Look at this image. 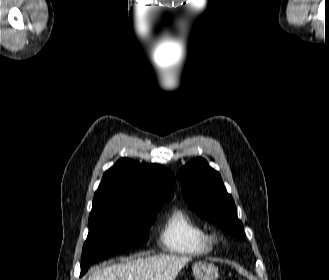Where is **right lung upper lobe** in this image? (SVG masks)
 <instances>
[{
	"instance_id": "obj_1",
	"label": "right lung upper lobe",
	"mask_w": 329,
	"mask_h": 280,
	"mask_svg": "<svg viewBox=\"0 0 329 280\" xmlns=\"http://www.w3.org/2000/svg\"><path fill=\"white\" fill-rule=\"evenodd\" d=\"M174 181V174L161 165L140 164L123 158L104 173L93 206L109 201L143 205L168 199Z\"/></svg>"
}]
</instances>
